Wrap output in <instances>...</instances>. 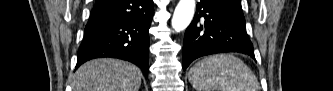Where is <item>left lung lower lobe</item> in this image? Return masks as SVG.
Masks as SVG:
<instances>
[{"mask_svg":"<svg viewBox=\"0 0 333 91\" xmlns=\"http://www.w3.org/2000/svg\"><path fill=\"white\" fill-rule=\"evenodd\" d=\"M239 52L255 59L246 33L240 0H201L192 23L185 32L182 64L205 55Z\"/></svg>","mask_w":333,"mask_h":91,"instance_id":"left-lung-lower-lobe-1","label":"left lung lower lobe"}]
</instances>
